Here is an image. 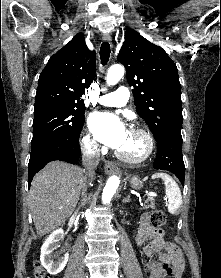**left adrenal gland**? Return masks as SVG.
I'll return each instance as SVG.
<instances>
[{
    "label": "left adrenal gland",
    "instance_id": "1",
    "mask_svg": "<svg viewBox=\"0 0 221 278\" xmlns=\"http://www.w3.org/2000/svg\"><path fill=\"white\" fill-rule=\"evenodd\" d=\"M122 202H123V203H128V202H130V195H128L126 198H124V199L122 200Z\"/></svg>",
    "mask_w": 221,
    "mask_h": 278
}]
</instances>
